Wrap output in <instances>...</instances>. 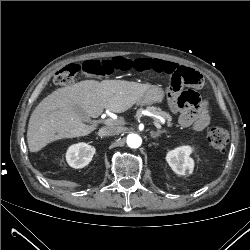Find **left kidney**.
Listing matches in <instances>:
<instances>
[{"label":"left kidney","mask_w":250,"mask_h":250,"mask_svg":"<svg viewBox=\"0 0 250 250\" xmlns=\"http://www.w3.org/2000/svg\"><path fill=\"white\" fill-rule=\"evenodd\" d=\"M191 153L190 146H181L169 151L166 155V161L176 174H191L194 168V160L190 157Z\"/></svg>","instance_id":"1"}]
</instances>
